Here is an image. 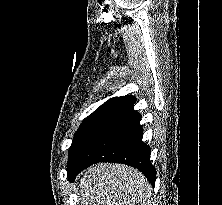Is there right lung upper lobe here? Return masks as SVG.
<instances>
[{"mask_svg": "<svg viewBox=\"0 0 222 205\" xmlns=\"http://www.w3.org/2000/svg\"><path fill=\"white\" fill-rule=\"evenodd\" d=\"M129 97L131 96L126 95V96L111 98L108 101H106L104 104H102L98 109H96L95 112H110L116 107H118L123 101H125Z\"/></svg>", "mask_w": 222, "mask_h": 205, "instance_id": "cb5924a9", "label": "right lung upper lobe"}]
</instances>
